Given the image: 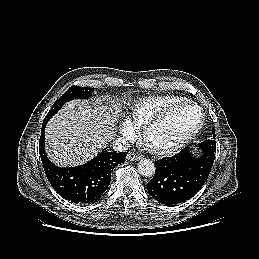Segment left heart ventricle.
Returning <instances> with one entry per match:
<instances>
[{
  "label": "left heart ventricle",
  "instance_id": "1",
  "mask_svg": "<svg viewBox=\"0 0 259 259\" xmlns=\"http://www.w3.org/2000/svg\"><path fill=\"white\" fill-rule=\"evenodd\" d=\"M199 112L194 107L176 111L167 121L157 127L152 138L157 143H170L187 134L198 122Z\"/></svg>",
  "mask_w": 259,
  "mask_h": 259
}]
</instances>
